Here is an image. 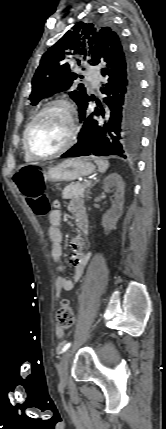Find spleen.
Here are the masks:
<instances>
[{
    "label": "spleen",
    "instance_id": "spleen-1",
    "mask_svg": "<svg viewBox=\"0 0 166 429\" xmlns=\"http://www.w3.org/2000/svg\"><path fill=\"white\" fill-rule=\"evenodd\" d=\"M95 163L98 166V170L101 173L106 172V170L109 167V162L107 160H103V159H95Z\"/></svg>",
    "mask_w": 166,
    "mask_h": 429
}]
</instances>
